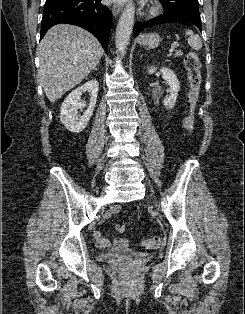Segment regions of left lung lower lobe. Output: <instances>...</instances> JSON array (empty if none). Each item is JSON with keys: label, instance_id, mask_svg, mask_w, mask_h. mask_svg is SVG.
Returning a JSON list of instances; mask_svg holds the SVG:
<instances>
[{"label": "left lung lower lobe", "instance_id": "left-lung-lower-lobe-1", "mask_svg": "<svg viewBox=\"0 0 245 314\" xmlns=\"http://www.w3.org/2000/svg\"><path fill=\"white\" fill-rule=\"evenodd\" d=\"M159 2L162 3V6L164 8V15L154 18L151 20H148L146 22H138L134 25V37H136L140 32H142L146 27L162 24V23H181V22H190L194 24L200 31H201V18L200 14H195L192 12H175V13H169L167 12L165 8V4L163 0H159Z\"/></svg>", "mask_w": 245, "mask_h": 314}]
</instances>
